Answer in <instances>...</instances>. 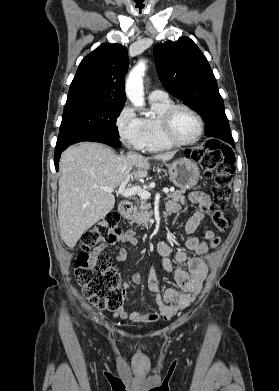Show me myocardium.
Instances as JSON below:
<instances>
[{
	"mask_svg": "<svg viewBox=\"0 0 279 391\" xmlns=\"http://www.w3.org/2000/svg\"><path fill=\"white\" fill-rule=\"evenodd\" d=\"M180 109H185V110L189 111L190 113H192L199 123V132L193 140L180 141L174 135L173 119H174L176 112ZM161 125H162V129H163V134H164V137L166 138V140L169 143H171L172 145L178 146V147L189 146V145H193V144L197 143L201 139V137L204 133V128H205L204 120H203L202 116L199 114V112L197 110H195L193 107H191L187 104H183V103L172 104L161 116Z\"/></svg>",
	"mask_w": 279,
	"mask_h": 391,
	"instance_id": "obj_1",
	"label": "myocardium"
}]
</instances>
